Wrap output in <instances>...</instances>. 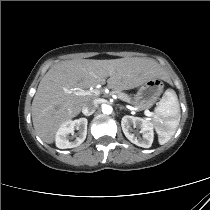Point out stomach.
<instances>
[{
    "label": "stomach",
    "instance_id": "0dacf381",
    "mask_svg": "<svg viewBox=\"0 0 210 210\" xmlns=\"http://www.w3.org/2000/svg\"><path fill=\"white\" fill-rule=\"evenodd\" d=\"M163 91V83L160 79H150L140 85L134 95L132 104L139 110L150 108L159 99Z\"/></svg>",
    "mask_w": 210,
    "mask_h": 210
}]
</instances>
